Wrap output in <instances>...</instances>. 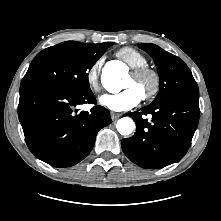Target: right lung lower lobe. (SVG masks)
<instances>
[{
    "label": "right lung lower lobe",
    "mask_w": 221,
    "mask_h": 221,
    "mask_svg": "<svg viewBox=\"0 0 221 221\" xmlns=\"http://www.w3.org/2000/svg\"><path fill=\"white\" fill-rule=\"evenodd\" d=\"M96 103L91 90L72 91L36 82L20 85L18 117L30 151L54 167H69L93 148L98 131L109 125L110 112L94 106L90 112L77 105Z\"/></svg>",
    "instance_id": "98d812e1"
}]
</instances>
